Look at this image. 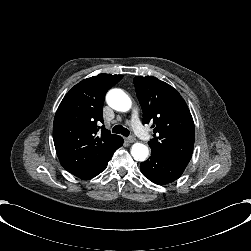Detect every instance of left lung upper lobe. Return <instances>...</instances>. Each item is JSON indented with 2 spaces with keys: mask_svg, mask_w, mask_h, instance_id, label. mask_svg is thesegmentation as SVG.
Here are the masks:
<instances>
[{
  "mask_svg": "<svg viewBox=\"0 0 251 251\" xmlns=\"http://www.w3.org/2000/svg\"><path fill=\"white\" fill-rule=\"evenodd\" d=\"M143 123L154 128L152 152L188 164L194 147V122L186 102L169 84L155 77L133 79Z\"/></svg>",
  "mask_w": 251,
  "mask_h": 251,
  "instance_id": "left-lung-upper-lobe-1",
  "label": "left lung upper lobe"
}]
</instances>
